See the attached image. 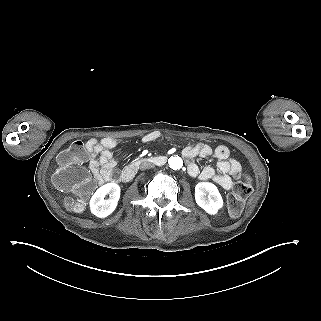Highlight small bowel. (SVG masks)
<instances>
[{
  "label": "small bowel",
  "mask_w": 321,
  "mask_h": 321,
  "mask_svg": "<svg viewBox=\"0 0 321 321\" xmlns=\"http://www.w3.org/2000/svg\"><path fill=\"white\" fill-rule=\"evenodd\" d=\"M161 137L159 132H151L142 139L144 143H151ZM117 146L115 139L105 137L100 141L92 138L85 144L88 154V166L98 184H103L115 178L116 160L113 158L112 150ZM187 160L188 173L200 180H213L226 190L233 188L235 184V173L240 171L241 165L235 158L230 157L229 149L220 145L213 148L208 143H197L187 146L183 150ZM213 155L217 159L215 167H204L200 169L193 161L196 157L206 158Z\"/></svg>",
  "instance_id": "obj_1"
}]
</instances>
